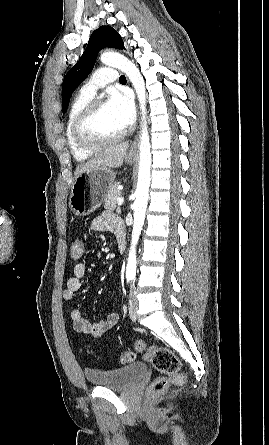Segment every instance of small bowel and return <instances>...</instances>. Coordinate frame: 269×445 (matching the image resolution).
<instances>
[{
    "label": "small bowel",
    "instance_id": "1",
    "mask_svg": "<svg viewBox=\"0 0 269 445\" xmlns=\"http://www.w3.org/2000/svg\"><path fill=\"white\" fill-rule=\"evenodd\" d=\"M96 232H112L117 235L120 231H124L122 222L113 213L109 211L103 212L95 217L91 225ZM87 266L84 263H77L73 267V275L67 280L66 289L63 291V299L67 302H73L76 293L83 289V278L86 275ZM116 290V286H112ZM73 329L76 332L84 333L92 336H100L119 321L117 312H110L105 319L90 322L87 320L79 309H73L70 312Z\"/></svg>",
    "mask_w": 269,
    "mask_h": 445
}]
</instances>
